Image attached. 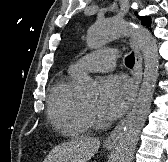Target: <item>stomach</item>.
I'll return each instance as SVG.
<instances>
[{"mask_svg":"<svg viewBox=\"0 0 168 162\" xmlns=\"http://www.w3.org/2000/svg\"><path fill=\"white\" fill-rule=\"evenodd\" d=\"M107 147V149H111L112 148V146H106Z\"/></svg>","mask_w":168,"mask_h":162,"instance_id":"0dacf381","label":"stomach"}]
</instances>
